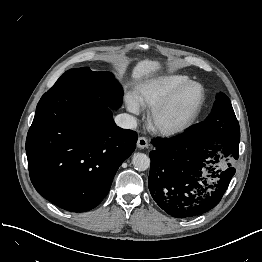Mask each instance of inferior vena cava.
Returning a JSON list of instances; mask_svg holds the SVG:
<instances>
[{
	"label": "inferior vena cava",
	"instance_id": "602c4592",
	"mask_svg": "<svg viewBox=\"0 0 262 262\" xmlns=\"http://www.w3.org/2000/svg\"><path fill=\"white\" fill-rule=\"evenodd\" d=\"M117 126L123 129H135L137 127V120L134 116L127 113L117 115L115 118Z\"/></svg>",
	"mask_w": 262,
	"mask_h": 262
}]
</instances>
